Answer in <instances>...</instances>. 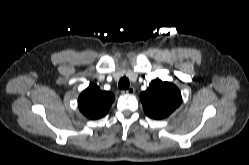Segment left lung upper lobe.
<instances>
[{"instance_id": "5c2ea615", "label": "left lung upper lobe", "mask_w": 249, "mask_h": 165, "mask_svg": "<svg viewBox=\"0 0 249 165\" xmlns=\"http://www.w3.org/2000/svg\"><path fill=\"white\" fill-rule=\"evenodd\" d=\"M140 99L145 114L156 120L168 117L182 102L179 89L171 82L154 80Z\"/></svg>"}]
</instances>
